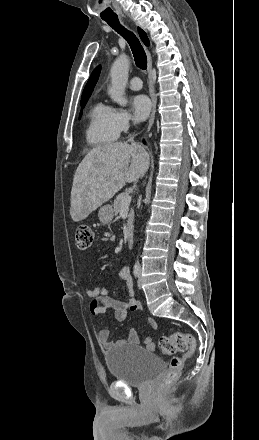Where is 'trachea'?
<instances>
[{"mask_svg":"<svg viewBox=\"0 0 259 440\" xmlns=\"http://www.w3.org/2000/svg\"><path fill=\"white\" fill-rule=\"evenodd\" d=\"M105 21L127 40L131 47L134 61L137 67L145 70L147 68V56L138 38L132 32L128 31L122 25H120L117 17L105 19Z\"/></svg>","mask_w":259,"mask_h":440,"instance_id":"3493384b","label":"trachea"}]
</instances>
